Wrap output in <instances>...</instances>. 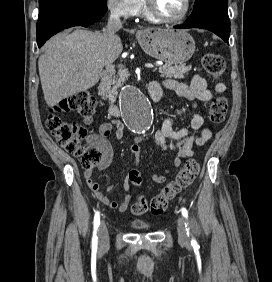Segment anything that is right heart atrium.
Instances as JSON below:
<instances>
[{"instance_id":"obj_1","label":"right heart atrium","mask_w":272,"mask_h":282,"mask_svg":"<svg viewBox=\"0 0 272 282\" xmlns=\"http://www.w3.org/2000/svg\"><path fill=\"white\" fill-rule=\"evenodd\" d=\"M110 13L119 18H128L141 9V0H107Z\"/></svg>"}]
</instances>
